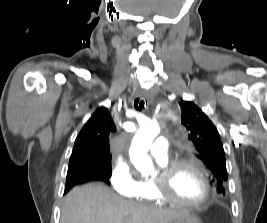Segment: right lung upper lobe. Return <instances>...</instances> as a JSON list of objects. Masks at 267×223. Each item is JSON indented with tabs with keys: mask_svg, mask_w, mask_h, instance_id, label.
<instances>
[{
	"mask_svg": "<svg viewBox=\"0 0 267 223\" xmlns=\"http://www.w3.org/2000/svg\"><path fill=\"white\" fill-rule=\"evenodd\" d=\"M116 126L104 107L98 108L78 134L69 165L84 162L89 171L108 175L111 171L108 139Z\"/></svg>",
	"mask_w": 267,
	"mask_h": 223,
	"instance_id": "cb5924a9",
	"label": "right lung upper lobe"
}]
</instances>
